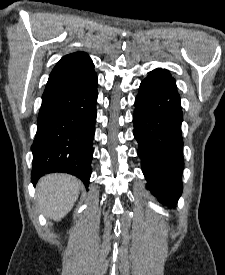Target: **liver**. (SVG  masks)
I'll list each match as a JSON object with an SVG mask.
<instances>
[{
    "label": "liver",
    "instance_id": "obj_1",
    "mask_svg": "<svg viewBox=\"0 0 225 275\" xmlns=\"http://www.w3.org/2000/svg\"><path fill=\"white\" fill-rule=\"evenodd\" d=\"M82 183L68 174H49L37 184L36 195L39 207L45 215L60 221L73 207Z\"/></svg>",
    "mask_w": 225,
    "mask_h": 275
}]
</instances>
